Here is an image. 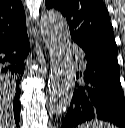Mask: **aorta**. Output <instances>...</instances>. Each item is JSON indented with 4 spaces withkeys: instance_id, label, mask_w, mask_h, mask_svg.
<instances>
[{
    "instance_id": "aorta-1",
    "label": "aorta",
    "mask_w": 125,
    "mask_h": 128,
    "mask_svg": "<svg viewBox=\"0 0 125 128\" xmlns=\"http://www.w3.org/2000/svg\"><path fill=\"white\" fill-rule=\"evenodd\" d=\"M40 31L50 54L49 109L62 115L70 106L75 85V70L65 18L56 10L41 15Z\"/></svg>"
}]
</instances>
